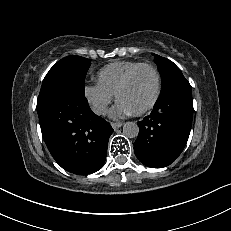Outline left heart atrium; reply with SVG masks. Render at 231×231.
Here are the masks:
<instances>
[{
	"instance_id": "left-heart-atrium-1",
	"label": "left heart atrium",
	"mask_w": 231,
	"mask_h": 231,
	"mask_svg": "<svg viewBox=\"0 0 231 231\" xmlns=\"http://www.w3.org/2000/svg\"><path fill=\"white\" fill-rule=\"evenodd\" d=\"M111 114L113 117H122V116L131 115L133 114V112L128 107L118 102L116 107L112 110Z\"/></svg>"
}]
</instances>
